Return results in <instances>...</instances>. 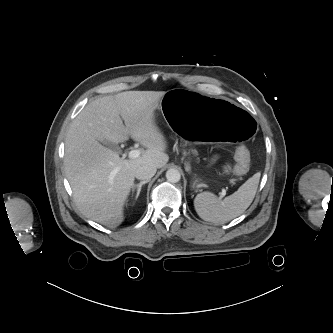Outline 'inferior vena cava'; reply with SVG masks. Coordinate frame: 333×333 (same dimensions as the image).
<instances>
[{
	"instance_id": "602c4592",
	"label": "inferior vena cava",
	"mask_w": 333,
	"mask_h": 333,
	"mask_svg": "<svg viewBox=\"0 0 333 333\" xmlns=\"http://www.w3.org/2000/svg\"><path fill=\"white\" fill-rule=\"evenodd\" d=\"M156 171L157 168L153 165H141L135 170V177L139 180H150Z\"/></svg>"
}]
</instances>
